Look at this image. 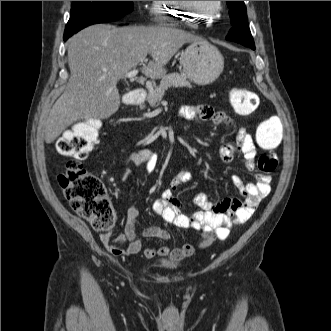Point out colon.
I'll return each mask as SVG.
<instances>
[{
    "instance_id": "1",
    "label": "colon",
    "mask_w": 331,
    "mask_h": 331,
    "mask_svg": "<svg viewBox=\"0 0 331 331\" xmlns=\"http://www.w3.org/2000/svg\"><path fill=\"white\" fill-rule=\"evenodd\" d=\"M229 97L233 109L240 115L251 114L259 103L256 94L242 88L231 89ZM99 129L98 121L88 120L75 124L62 135L57 143V151L69 161L57 179L71 208L88 220L94 229L109 231L115 224V211L100 178L87 171L82 164L98 141ZM282 134V119L272 116L259 125L256 141L263 149H274L280 145ZM277 166L278 159L271 152H265L258 158L257 167L264 174L273 173ZM210 244L205 241L200 246L207 247Z\"/></svg>"
}]
</instances>
